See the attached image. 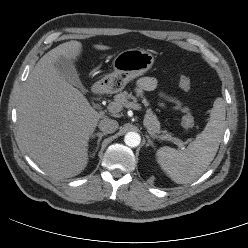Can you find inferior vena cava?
<instances>
[{
  "label": "inferior vena cava",
  "mask_w": 248,
  "mask_h": 248,
  "mask_svg": "<svg viewBox=\"0 0 248 248\" xmlns=\"http://www.w3.org/2000/svg\"><path fill=\"white\" fill-rule=\"evenodd\" d=\"M118 122L111 118H104L99 122V129L104 133H113L118 129Z\"/></svg>",
  "instance_id": "inferior-vena-cava-1"
}]
</instances>
